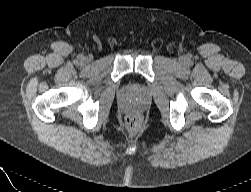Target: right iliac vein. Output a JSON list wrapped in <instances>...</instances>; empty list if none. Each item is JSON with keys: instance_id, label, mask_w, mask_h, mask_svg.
Returning a JSON list of instances; mask_svg holds the SVG:
<instances>
[{"instance_id": "right-iliac-vein-1", "label": "right iliac vein", "mask_w": 251, "mask_h": 192, "mask_svg": "<svg viewBox=\"0 0 251 192\" xmlns=\"http://www.w3.org/2000/svg\"><path fill=\"white\" fill-rule=\"evenodd\" d=\"M83 61H84V62H87V61H88V58L83 59Z\"/></svg>"}]
</instances>
